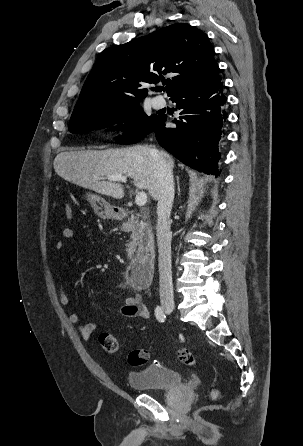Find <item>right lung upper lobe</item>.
<instances>
[{"label":"right lung upper lobe","instance_id":"right-lung-upper-lobe-1","mask_svg":"<svg viewBox=\"0 0 303 446\" xmlns=\"http://www.w3.org/2000/svg\"><path fill=\"white\" fill-rule=\"evenodd\" d=\"M207 35L189 24L161 28L128 43L105 49L88 75L72 116L102 106H123L146 97L141 83L167 79L168 96L219 76Z\"/></svg>","mask_w":303,"mask_h":446}]
</instances>
